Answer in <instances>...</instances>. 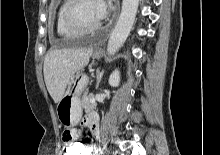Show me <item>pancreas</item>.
Wrapping results in <instances>:
<instances>
[{"instance_id": "cf45deb5", "label": "pancreas", "mask_w": 220, "mask_h": 155, "mask_svg": "<svg viewBox=\"0 0 220 155\" xmlns=\"http://www.w3.org/2000/svg\"><path fill=\"white\" fill-rule=\"evenodd\" d=\"M92 95H85L82 97V106L86 112L92 111L96 108V103H91Z\"/></svg>"}]
</instances>
